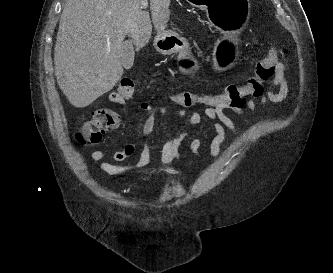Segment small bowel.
I'll list each match as a JSON object with an SVG mask.
<instances>
[{"label":"small bowel","mask_w":333,"mask_h":273,"mask_svg":"<svg viewBox=\"0 0 333 273\" xmlns=\"http://www.w3.org/2000/svg\"><path fill=\"white\" fill-rule=\"evenodd\" d=\"M273 52L278 56V61L275 62L273 76L269 83L266 92L262 93L259 97V103L264 110L272 109L275 104L283 102L289 93V82L286 77L287 66L283 61L285 52L283 50H277L271 48L268 53ZM220 94H227L225 91ZM110 101L117 104H124L129 101V96H120L117 92H113L110 95ZM244 108H247L251 112H255L257 107L253 99H247V104L243 105V109H203L201 112L192 109H178L175 112V117L178 119H184L191 124H199L203 117H206L213 121L212 127L215 131V136L210 143L211 161L218 159L220 155V145L224 142L227 136V132H230L237 137V128L233 120L227 115L226 111L234 113L238 118L244 117ZM169 108L166 104H157L147 109V104H142L141 112L147 113L146 118L142 123V135L145 139L139 158L129 164L118 165L104 159L107 157V151L104 149H96L90 154V158L93 161H99L100 167L106 173L117 176L126 173H136L143 170L149 163L151 156L150 140L153 136V130L156 122V118L159 115L166 114ZM119 127V121L112 129ZM188 135V129H182L177 133L170 135L166 138L162 146V165L168 166L172 161H180L188 163L189 157L187 154L181 152L180 145L184 138ZM202 140L200 137L192 139L189 145L191 155L202 161V155L200 153V147ZM135 154V145L133 143L127 144L123 149L117 150L113 153L112 158L116 162H123L131 158Z\"/></svg>","instance_id":"1"}]
</instances>
